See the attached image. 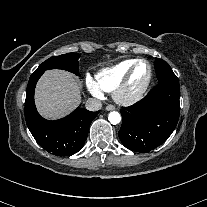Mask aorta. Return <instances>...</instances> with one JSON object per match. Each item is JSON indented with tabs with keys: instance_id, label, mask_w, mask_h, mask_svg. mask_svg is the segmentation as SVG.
Listing matches in <instances>:
<instances>
[{
	"instance_id": "obj_1",
	"label": "aorta",
	"mask_w": 207,
	"mask_h": 207,
	"mask_svg": "<svg viewBox=\"0 0 207 207\" xmlns=\"http://www.w3.org/2000/svg\"><path fill=\"white\" fill-rule=\"evenodd\" d=\"M108 120L110 121L111 124L116 125L120 123L121 115L116 111H112L108 115Z\"/></svg>"
}]
</instances>
